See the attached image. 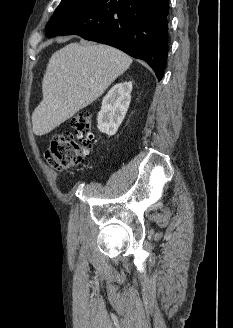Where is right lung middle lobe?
Instances as JSON below:
<instances>
[{
	"label": "right lung middle lobe",
	"instance_id": "dd1d6c3e",
	"mask_svg": "<svg viewBox=\"0 0 233 328\" xmlns=\"http://www.w3.org/2000/svg\"><path fill=\"white\" fill-rule=\"evenodd\" d=\"M95 0H62L56 11L54 12L51 20L47 23V36L50 33L49 28L52 26L57 20H60L72 13L88 6Z\"/></svg>",
	"mask_w": 233,
	"mask_h": 328
}]
</instances>
